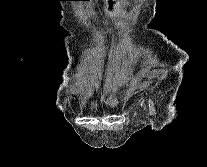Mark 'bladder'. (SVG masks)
Instances as JSON below:
<instances>
[{
	"label": "bladder",
	"mask_w": 207,
	"mask_h": 167,
	"mask_svg": "<svg viewBox=\"0 0 207 167\" xmlns=\"http://www.w3.org/2000/svg\"><path fill=\"white\" fill-rule=\"evenodd\" d=\"M118 105L117 99H108L104 102H92L89 104L90 109L98 111L101 108H115Z\"/></svg>",
	"instance_id": "obj_1"
}]
</instances>
